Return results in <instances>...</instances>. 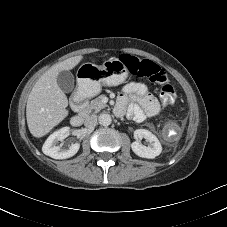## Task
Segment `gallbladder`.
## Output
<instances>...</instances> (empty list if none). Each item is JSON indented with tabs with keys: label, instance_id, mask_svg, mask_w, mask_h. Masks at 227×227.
Returning <instances> with one entry per match:
<instances>
[{
	"label": "gallbladder",
	"instance_id": "bac80fb5",
	"mask_svg": "<svg viewBox=\"0 0 227 227\" xmlns=\"http://www.w3.org/2000/svg\"><path fill=\"white\" fill-rule=\"evenodd\" d=\"M74 76L70 71H61L57 76V83L62 91L69 93L74 88Z\"/></svg>",
	"mask_w": 227,
	"mask_h": 227
}]
</instances>
